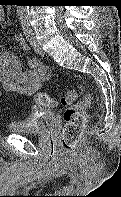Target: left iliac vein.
<instances>
[{
	"label": "left iliac vein",
	"mask_w": 121,
	"mask_h": 197,
	"mask_svg": "<svg viewBox=\"0 0 121 197\" xmlns=\"http://www.w3.org/2000/svg\"><path fill=\"white\" fill-rule=\"evenodd\" d=\"M32 46L35 50V52L39 55H44L45 52L43 50V48L41 47V45L39 44L38 40L36 39V36L34 35L33 33V43H32Z\"/></svg>",
	"instance_id": "obj_1"
}]
</instances>
